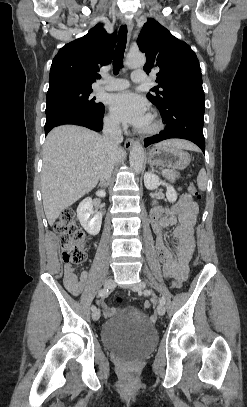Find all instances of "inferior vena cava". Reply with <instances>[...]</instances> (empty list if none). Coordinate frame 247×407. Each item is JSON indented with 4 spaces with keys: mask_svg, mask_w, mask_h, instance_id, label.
<instances>
[{
    "mask_svg": "<svg viewBox=\"0 0 247 407\" xmlns=\"http://www.w3.org/2000/svg\"><path fill=\"white\" fill-rule=\"evenodd\" d=\"M122 141L123 136L119 123L115 120H106L103 127L105 151L100 166L101 183L109 182L116 162L115 153L118 151Z\"/></svg>",
    "mask_w": 247,
    "mask_h": 407,
    "instance_id": "inferior-vena-cava-1",
    "label": "inferior vena cava"
}]
</instances>
